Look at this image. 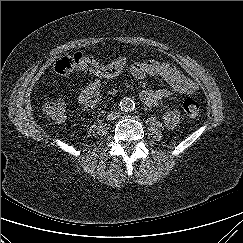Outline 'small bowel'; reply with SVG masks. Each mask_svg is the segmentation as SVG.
<instances>
[{
    "mask_svg": "<svg viewBox=\"0 0 243 243\" xmlns=\"http://www.w3.org/2000/svg\"><path fill=\"white\" fill-rule=\"evenodd\" d=\"M130 72L138 79L152 76L167 83L168 88L141 91L140 99L148 106H156L161 100L175 94L191 95L197 90V84L193 80L181 74L168 62L134 59L130 65ZM102 85L103 83L100 80H92L78 94V103L87 110L93 109L100 102ZM163 119L168 127L173 128L179 124L181 115L177 109H169L165 112Z\"/></svg>",
    "mask_w": 243,
    "mask_h": 243,
    "instance_id": "small-bowel-1",
    "label": "small bowel"
}]
</instances>
